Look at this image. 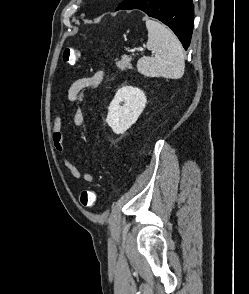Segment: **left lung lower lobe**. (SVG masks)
Segmentation results:
<instances>
[{
    "label": "left lung lower lobe",
    "instance_id": "0a47b994",
    "mask_svg": "<svg viewBox=\"0 0 249 294\" xmlns=\"http://www.w3.org/2000/svg\"><path fill=\"white\" fill-rule=\"evenodd\" d=\"M124 9H140L160 20L173 30L185 49L189 47L194 17L192 0H125L116 11Z\"/></svg>",
    "mask_w": 249,
    "mask_h": 294
}]
</instances>
